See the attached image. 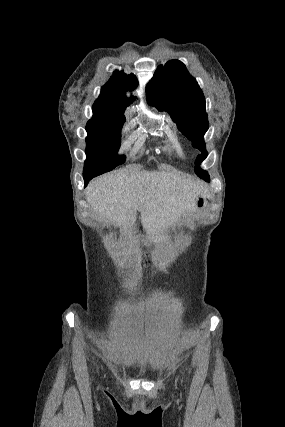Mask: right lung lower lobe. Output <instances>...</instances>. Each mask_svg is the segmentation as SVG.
<instances>
[{"mask_svg":"<svg viewBox=\"0 0 285 427\" xmlns=\"http://www.w3.org/2000/svg\"><path fill=\"white\" fill-rule=\"evenodd\" d=\"M98 173H92V174H83L85 186L88 184V182L95 176H98Z\"/></svg>","mask_w":285,"mask_h":427,"instance_id":"1","label":"right lung lower lobe"}]
</instances>
